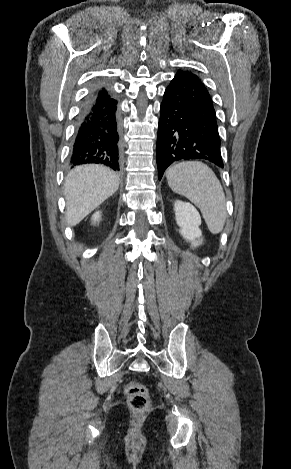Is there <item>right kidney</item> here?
Here are the masks:
<instances>
[{"label":"right kidney","instance_id":"obj_1","mask_svg":"<svg viewBox=\"0 0 291 469\" xmlns=\"http://www.w3.org/2000/svg\"><path fill=\"white\" fill-rule=\"evenodd\" d=\"M101 219V213L98 211L92 216V222L95 224Z\"/></svg>","mask_w":291,"mask_h":469}]
</instances>
